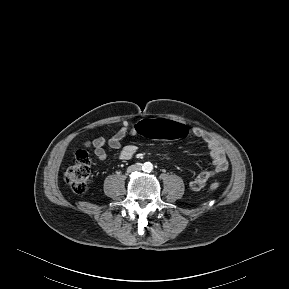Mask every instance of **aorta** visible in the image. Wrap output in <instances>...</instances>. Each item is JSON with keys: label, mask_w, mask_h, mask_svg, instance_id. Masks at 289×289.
<instances>
[{"label": "aorta", "mask_w": 289, "mask_h": 289, "mask_svg": "<svg viewBox=\"0 0 289 289\" xmlns=\"http://www.w3.org/2000/svg\"><path fill=\"white\" fill-rule=\"evenodd\" d=\"M142 170L145 172H151L153 170V164L151 162H145L142 165Z\"/></svg>", "instance_id": "aorta-1"}]
</instances>
